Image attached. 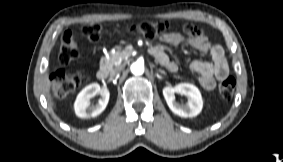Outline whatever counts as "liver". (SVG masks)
<instances>
[{"mask_svg":"<svg viewBox=\"0 0 283 162\" xmlns=\"http://www.w3.org/2000/svg\"><path fill=\"white\" fill-rule=\"evenodd\" d=\"M50 80H49V76L48 74L45 75V78H44V81H43V88H44V92H45V95L47 97V100L49 102V106L51 108L54 107V104L52 102V98H51V95H50Z\"/></svg>","mask_w":283,"mask_h":162,"instance_id":"obj_1","label":"liver"}]
</instances>
